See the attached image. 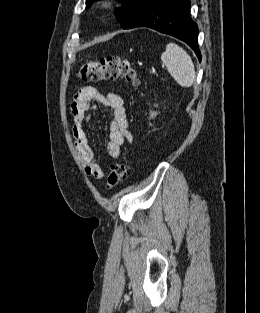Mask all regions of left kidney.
Wrapping results in <instances>:
<instances>
[{"mask_svg": "<svg viewBox=\"0 0 260 313\" xmlns=\"http://www.w3.org/2000/svg\"><path fill=\"white\" fill-rule=\"evenodd\" d=\"M156 115V113H151V118H153Z\"/></svg>", "mask_w": 260, "mask_h": 313, "instance_id": "obj_1", "label": "left kidney"}]
</instances>
